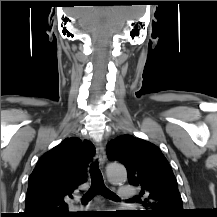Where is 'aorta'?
Wrapping results in <instances>:
<instances>
[{
  "mask_svg": "<svg viewBox=\"0 0 217 217\" xmlns=\"http://www.w3.org/2000/svg\"><path fill=\"white\" fill-rule=\"evenodd\" d=\"M107 177L111 183H122L127 179V172L124 166L116 163H110L107 166Z\"/></svg>",
  "mask_w": 217,
  "mask_h": 217,
  "instance_id": "obj_1",
  "label": "aorta"
}]
</instances>
